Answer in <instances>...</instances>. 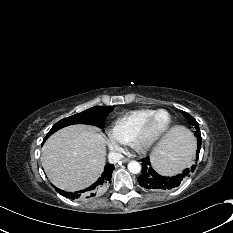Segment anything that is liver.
<instances>
[{"mask_svg":"<svg viewBox=\"0 0 233 233\" xmlns=\"http://www.w3.org/2000/svg\"><path fill=\"white\" fill-rule=\"evenodd\" d=\"M182 128L171 129L158 143L152 160L177 172L184 162L176 160ZM106 140L95 127L72 125L54 133L42 148V166L49 180L70 192L89 187L105 166Z\"/></svg>","mask_w":233,"mask_h":233,"instance_id":"6515ba94","label":"liver"}]
</instances>
